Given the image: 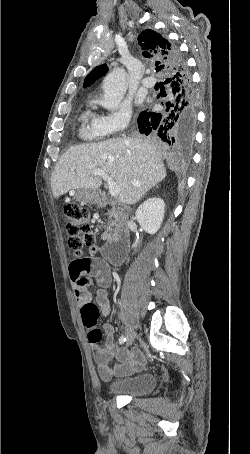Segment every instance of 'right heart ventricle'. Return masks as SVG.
<instances>
[{"mask_svg":"<svg viewBox=\"0 0 250 454\" xmlns=\"http://www.w3.org/2000/svg\"><path fill=\"white\" fill-rule=\"evenodd\" d=\"M98 115L90 110L85 111L80 117L79 136L87 141L97 140L103 136L98 126Z\"/></svg>","mask_w":250,"mask_h":454,"instance_id":"1","label":"right heart ventricle"}]
</instances>
